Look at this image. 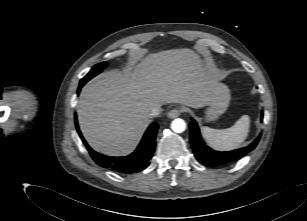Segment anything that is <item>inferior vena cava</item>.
Listing matches in <instances>:
<instances>
[{
	"label": "inferior vena cava",
	"mask_w": 307,
	"mask_h": 221,
	"mask_svg": "<svg viewBox=\"0 0 307 221\" xmlns=\"http://www.w3.org/2000/svg\"><path fill=\"white\" fill-rule=\"evenodd\" d=\"M160 115V108L159 107H153L151 112H150V116L151 117H157Z\"/></svg>",
	"instance_id": "602c4592"
}]
</instances>
